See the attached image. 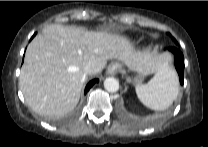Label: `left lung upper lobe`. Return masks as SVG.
<instances>
[{"label": "left lung upper lobe", "instance_id": "left-lung-upper-lobe-1", "mask_svg": "<svg viewBox=\"0 0 208 147\" xmlns=\"http://www.w3.org/2000/svg\"><path fill=\"white\" fill-rule=\"evenodd\" d=\"M173 39V41L177 44V41L174 39V38H172Z\"/></svg>", "mask_w": 208, "mask_h": 147}]
</instances>
